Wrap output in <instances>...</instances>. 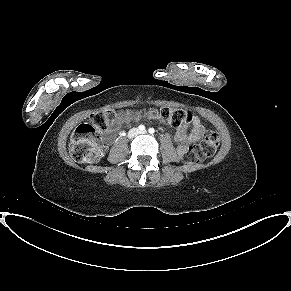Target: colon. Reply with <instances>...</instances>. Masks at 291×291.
<instances>
[{
    "instance_id": "5ec220e1",
    "label": "colon",
    "mask_w": 291,
    "mask_h": 291,
    "mask_svg": "<svg viewBox=\"0 0 291 291\" xmlns=\"http://www.w3.org/2000/svg\"><path fill=\"white\" fill-rule=\"evenodd\" d=\"M117 114L107 109L92 114L88 121L80 124L73 132L69 151L71 158L78 163H95L102 154L99 144V135L113 124ZM150 116L162 120L167 124L179 127L190 121V115L183 109L153 108ZM219 145V135L212 130L205 133L199 145L190 146L184 155L188 164L200 162L214 155Z\"/></svg>"
}]
</instances>
